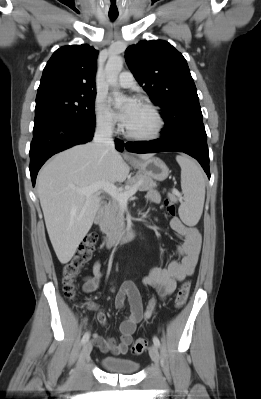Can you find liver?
Segmentation results:
<instances>
[{
    "instance_id": "1",
    "label": "liver",
    "mask_w": 261,
    "mask_h": 399,
    "mask_svg": "<svg viewBox=\"0 0 261 399\" xmlns=\"http://www.w3.org/2000/svg\"><path fill=\"white\" fill-rule=\"evenodd\" d=\"M139 157L146 160L152 154ZM129 171L120 153L94 142L55 155L41 169L37 193L50 241L62 264L74 256L101 202L97 192L85 195L77 189L100 182H123Z\"/></svg>"
}]
</instances>
